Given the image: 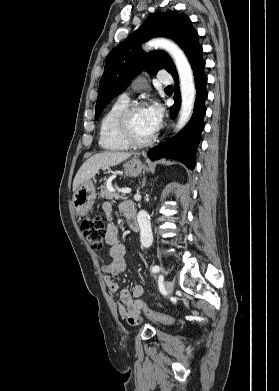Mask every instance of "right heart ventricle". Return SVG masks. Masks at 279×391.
Returning a JSON list of instances; mask_svg holds the SVG:
<instances>
[{
	"label": "right heart ventricle",
	"mask_w": 279,
	"mask_h": 391,
	"mask_svg": "<svg viewBox=\"0 0 279 391\" xmlns=\"http://www.w3.org/2000/svg\"><path fill=\"white\" fill-rule=\"evenodd\" d=\"M128 103V98L119 97L104 113L99 129V144L101 148L110 151L129 149L130 146L120 138L117 130L118 116Z\"/></svg>",
	"instance_id": "obj_1"
}]
</instances>
